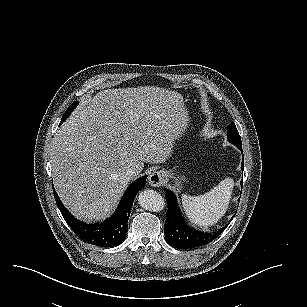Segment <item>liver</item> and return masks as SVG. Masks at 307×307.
<instances>
[{
  "label": "liver",
  "mask_w": 307,
  "mask_h": 307,
  "mask_svg": "<svg viewBox=\"0 0 307 307\" xmlns=\"http://www.w3.org/2000/svg\"><path fill=\"white\" fill-rule=\"evenodd\" d=\"M188 121L183 96L157 86L104 89L83 98L57 130L50 158L54 189L71 216L102 223L118 208L144 162L171 151Z\"/></svg>",
  "instance_id": "obj_1"
}]
</instances>
